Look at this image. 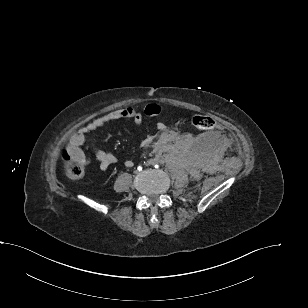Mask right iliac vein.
I'll list each match as a JSON object with an SVG mask.
<instances>
[{"mask_svg": "<svg viewBox=\"0 0 308 308\" xmlns=\"http://www.w3.org/2000/svg\"><path fill=\"white\" fill-rule=\"evenodd\" d=\"M134 174H138L139 173V171L138 170H134V172H133Z\"/></svg>", "mask_w": 308, "mask_h": 308, "instance_id": "1", "label": "right iliac vein"}]
</instances>
